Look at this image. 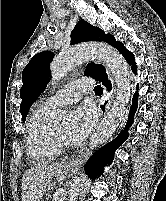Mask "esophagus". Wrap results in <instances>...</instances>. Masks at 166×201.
<instances>
[{
	"instance_id": "1",
	"label": "esophagus",
	"mask_w": 166,
	"mask_h": 201,
	"mask_svg": "<svg viewBox=\"0 0 166 201\" xmlns=\"http://www.w3.org/2000/svg\"><path fill=\"white\" fill-rule=\"evenodd\" d=\"M109 78L112 83V89L109 91L106 87H103V94L98 101V107L101 113V118L106 116L107 112L109 111L114 101L115 88L113 85V80L111 79V77ZM89 154H90V151L87 150L86 152L83 153V155L80 158L72 160L70 164L78 165L79 163L83 161V158H87Z\"/></svg>"
}]
</instances>
